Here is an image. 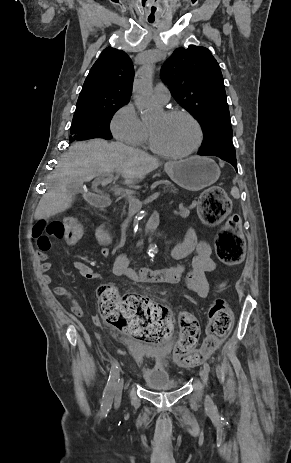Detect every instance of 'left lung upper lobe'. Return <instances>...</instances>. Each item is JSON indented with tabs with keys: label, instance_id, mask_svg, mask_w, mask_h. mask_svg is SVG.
I'll return each mask as SVG.
<instances>
[{
	"label": "left lung upper lobe",
	"instance_id": "1",
	"mask_svg": "<svg viewBox=\"0 0 291 463\" xmlns=\"http://www.w3.org/2000/svg\"><path fill=\"white\" fill-rule=\"evenodd\" d=\"M161 74L174 99L202 126L200 152L236 156L224 80L211 52L194 45L177 48Z\"/></svg>",
	"mask_w": 291,
	"mask_h": 463
}]
</instances>
